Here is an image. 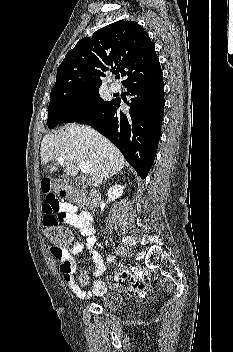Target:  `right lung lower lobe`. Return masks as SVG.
Returning a JSON list of instances; mask_svg holds the SVG:
<instances>
[{"label": "right lung lower lobe", "instance_id": "1", "mask_svg": "<svg viewBox=\"0 0 233 352\" xmlns=\"http://www.w3.org/2000/svg\"><path fill=\"white\" fill-rule=\"evenodd\" d=\"M131 101L129 112L120 110L122 101L113 99L90 117L79 120L107 137L124 155L140 177L153 165L161 132L164 110L162 71L124 85Z\"/></svg>", "mask_w": 233, "mask_h": 352}]
</instances>
